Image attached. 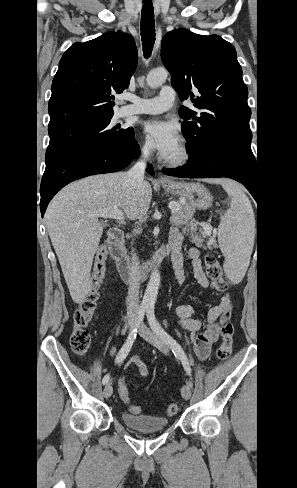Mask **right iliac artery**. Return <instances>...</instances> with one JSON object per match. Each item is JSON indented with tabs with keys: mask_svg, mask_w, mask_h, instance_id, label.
<instances>
[{
	"mask_svg": "<svg viewBox=\"0 0 297 488\" xmlns=\"http://www.w3.org/2000/svg\"><path fill=\"white\" fill-rule=\"evenodd\" d=\"M145 312H146V307H140L139 308L137 320L135 322V326L132 329V331L130 332L129 336L127 337L126 342L124 343V345L119 350V352L116 356V359H115V363L122 362L126 358L128 353L130 352L131 347H132V345L136 339L138 328H139L141 322L143 321ZM109 380H110V375L107 374L104 376L102 383L105 385L109 382Z\"/></svg>",
	"mask_w": 297,
	"mask_h": 488,
	"instance_id": "obj_1",
	"label": "right iliac artery"
}]
</instances>
